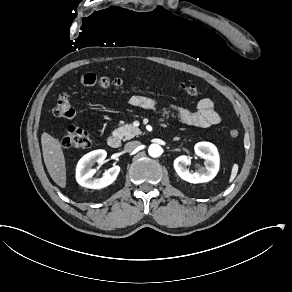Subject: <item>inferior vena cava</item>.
Segmentation results:
<instances>
[{"instance_id": "inferior-vena-cava-1", "label": "inferior vena cava", "mask_w": 292, "mask_h": 292, "mask_svg": "<svg viewBox=\"0 0 292 292\" xmlns=\"http://www.w3.org/2000/svg\"><path fill=\"white\" fill-rule=\"evenodd\" d=\"M141 145V143L139 141H131L125 144V151L127 152H131L134 149H136L137 147H139Z\"/></svg>"}]
</instances>
